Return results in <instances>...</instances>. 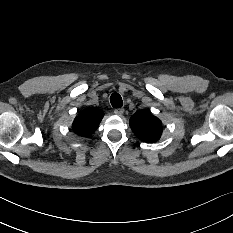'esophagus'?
Returning a JSON list of instances; mask_svg holds the SVG:
<instances>
[{"label":"esophagus","mask_w":233,"mask_h":233,"mask_svg":"<svg viewBox=\"0 0 233 233\" xmlns=\"http://www.w3.org/2000/svg\"><path fill=\"white\" fill-rule=\"evenodd\" d=\"M114 113H115L116 115H122V114L124 113V109H123V108H116V109L114 110Z\"/></svg>","instance_id":"1"}]
</instances>
